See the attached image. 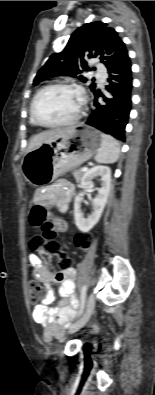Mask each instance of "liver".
Here are the masks:
<instances>
[{"label":"liver","mask_w":155,"mask_h":395,"mask_svg":"<svg viewBox=\"0 0 155 395\" xmlns=\"http://www.w3.org/2000/svg\"><path fill=\"white\" fill-rule=\"evenodd\" d=\"M61 130H51V131H45L42 133H39L35 136H33L30 140L29 146H28V151L33 150L40 146L43 143H48L51 140H53L57 133H59Z\"/></svg>","instance_id":"1"}]
</instances>
